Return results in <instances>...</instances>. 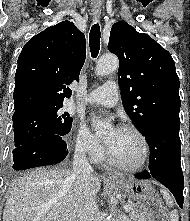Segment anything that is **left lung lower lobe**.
<instances>
[{"label": "left lung lower lobe", "mask_w": 190, "mask_h": 221, "mask_svg": "<svg viewBox=\"0 0 190 221\" xmlns=\"http://www.w3.org/2000/svg\"><path fill=\"white\" fill-rule=\"evenodd\" d=\"M180 125L163 123L144 136L150 147L149 170L136 174L138 179L155 178L166 186L182 208L184 177L181 169Z\"/></svg>", "instance_id": "left-lung-lower-lobe-1"}]
</instances>
